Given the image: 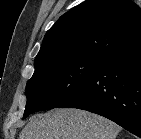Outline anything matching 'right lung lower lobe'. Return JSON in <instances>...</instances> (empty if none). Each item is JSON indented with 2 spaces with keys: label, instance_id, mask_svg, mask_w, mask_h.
<instances>
[{
  "label": "right lung lower lobe",
  "instance_id": "98d812e1",
  "mask_svg": "<svg viewBox=\"0 0 141 139\" xmlns=\"http://www.w3.org/2000/svg\"><path fill=\"white\" fill-rule=\"evenodd\" d=\"M55 108L102 115L141 137V45L109 59L87 84Z\"/></svg>",
  "mask_w": 141,
  "mask_h": 139
}]
</instances>
